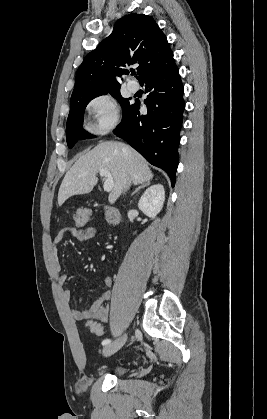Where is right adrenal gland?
<instances>
[{
  "label": "right adrenal gland",
  "mask_w": 267,
  "mask_h": 419,
  "mask_svg": "<svg viewBox=\"0 0 267 419\" xmlns=\"http://www.w3.org/2000/svg\"><path fill=\"white\" fill-rule=\"evenodd\" d=\"M150 184V182H146L144 184H141L140 186H138L135 191L131 194V196H133L135 193H137L139 190H141L142 188H145L146 186H148Z\"/></svg>",
  "instance_id": "2a0ac1e0"
}]
</instances>
